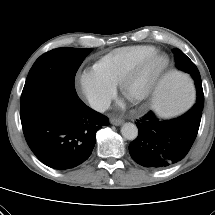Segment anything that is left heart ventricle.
<instances>
[{
	"instance_id": "obj_1",
	"label": "left heart ventricle",
	"mask_w": 215,
	"mask_h": 215,
	"mask_svg": "<svg viewBox=\"0 0 215 215\" xmlns=\"http://www.w3.org/2000/svg\"><path fill=\"white\" fill-rule=\"evenodd\" d=\"M161 64L160 60H156L153 62L145 71L144 73L129 87L128 95L134 96L140 93L148 81L151 79L159 65Z\"/></svg>"
}]
</instances>
